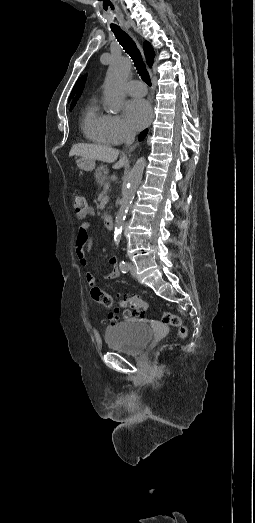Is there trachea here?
Returning a JSON list of instances; mask_svg holds the SVG:
<instances>
[{"label": "trachea", "mask_w": 255, "mask_h": 523, "mask_svg": "<svg viewBox=\"0 0 255 523\" xmlns=\"http://www.w3.org/2000/svg\"><path fill=\"white\" fill-rule=\"evenodd\" d=\"M112 32L114 33L116 39L122 45L123 49L126 53L132 58L134 65L141 76L142 80L147 83L151 87V79L150 75L148 73V70L146 69V66L143 62L142 56L140 51L137 48L136 43L132 40V38L124 32L120 27H111Z\"/></svg>", "instance_id": "3493384b"}]
</instances>
